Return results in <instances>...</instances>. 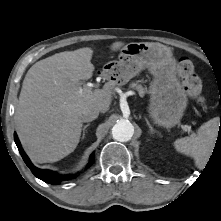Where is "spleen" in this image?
Here are the masks:
<instances>
[{
  "instance_id": "obj_1",
  "label": "spleen",
  "mask_w": 221,
  "mask_h": 221,
  "mask_svg": "<svg viewBox=\"0 0 221 221\" xmlns=\"http://www.w3.org/2000/svg\"><path fill=\"white\" fill-rule=\"evenodd\" d=\"M218 130L219 118L216 117L204 123L197 134L177 139L174 147L178 152L191 156L198 168H203L212 154Z\"/></svg>"
}]
</instances>
